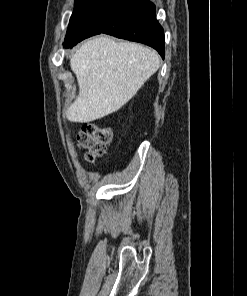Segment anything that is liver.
Segmentation results:
<instances>
[{
  "mask_svg": "<svg viewBox=\"0 0 247 296\" xmlns=\"http://www.w3.org/2000/svg\"><path fill=\"white\" fill-rule=\"evenodd\" d=\"M159 55L143 45L100 36L72 56L79 95L66 111L71 122L88 123L126 104L158 70Z\"/></svg>",
  "mask_w": 247,
  "mask_h": 296,
  "instance_id": "liver-1",
  "label": "liver"
}]
</instances>
